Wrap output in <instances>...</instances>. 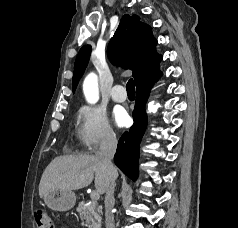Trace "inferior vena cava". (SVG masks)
<instances>
[{
	"instance_id": "1",
	"label": "inferior vena cava",
	"mask_w": 238,
	"mask_h": 228,
	"mask_svg": "<svg viewBox=\"0 0 238 228\" xmlns=\"http://www.w3.org/2000/svg\"><path fill=\"white\" fill-rule=\"evenodd\" d=\"M117 147L116 136L112 132H108L103 138L99 151L96 156L101 158L107 166L109 172L112 174L109 184L106 189L105 195V225L106 228H115L114 215L112 209L114 207V189H115V177L113 174L116 172L112 163L115 151Z\"/></svg>"
}]
</instances>
